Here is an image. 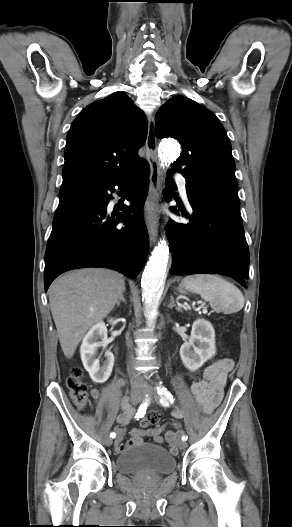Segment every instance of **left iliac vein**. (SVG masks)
Wrapping results in <instances>:
<instances>
[{
  "instance_id": "4c4485c4",
  "label": "left iliac vein",
  "mask_w": 292,
  "mask_h": 527,
  "mask_svg": "<svg viewBox=\"0 0 292 527\" xmlns=\"http://www.w3.org/2000/svg\"><path fill=\"white\" fill-rule=\"evenodd\" d=\"M146 393L149 395V397H151V398H156L155 393L152 392L151 390H148ZM186 447H187V443H186V441H183V440H182L181 442H179V448H180V449H185Z\"/></svg>"
}]
</instances>
